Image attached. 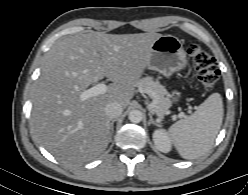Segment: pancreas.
<instances>
[{"mask_svg": "<svg viewBox=\"0 0 248 195\" xmlns=\"http://www.w3.org/2000/svg\"><path fill=\"white\" fill-rule=\"evenodd\" d=\"M136 86L143 92L147 93L152 99L150 111L158 117H163L167 114L171 107V101L166 96L167 91L159 81H155L152 77H145L140 79Z\"/></svg>", "mask_w": 248, "mask_h": 195, "instance_id": "pancreas-1", "label": "pancreas"}]
</instances>
